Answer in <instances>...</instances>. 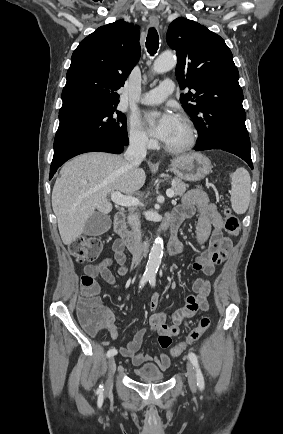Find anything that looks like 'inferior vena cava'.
Listing matches in <instances>:
<instances>
[{
    "label": "inferior vena cava",
    "mask_w": 283,
    "mask_h": 434,
    "mask_svg": "<svg viewBox=\"0 0 283 434\" xmlns=\"http://www.w3.org/2000/svg\"><path fill=\"white\" fill-rule=\"evenodd\" d=\"M146 143L144 139L137 138L133 139L130 142V145L125 152V159L129 161L132 165L138 166L142 162V160L146 157ZM128 223L133 230V235L135 239V245L133 250V261L136 265H138L141 261V225L138 218V215L129 214Z\"/></svg>",
    "instance_id": "1"
}]
</instances>
